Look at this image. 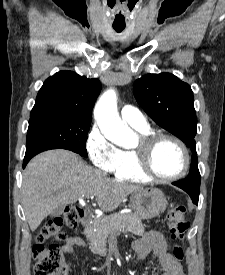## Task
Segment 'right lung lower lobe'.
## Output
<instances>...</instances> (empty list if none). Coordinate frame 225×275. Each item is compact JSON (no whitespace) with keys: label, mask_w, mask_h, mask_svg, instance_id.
Masks as SVG:
<instances>
[{"label":"right lung lower lobe","mask_w":225,"mask_h":275,"mask_svg":"<svg viewBox=\"0 0 225 275\" xmlns=\"http://www.w3.org/2000/svg\"><path fill=\"white\" fill-rule=\"evenodd\" d=\"M31 158H32V157H25V158H24L23 168L26 166V164L28 163V161H29Z\"/></svg>","instance_id":"obj_1"}]
</instances>
